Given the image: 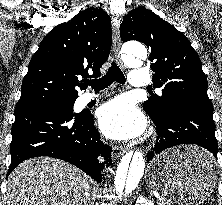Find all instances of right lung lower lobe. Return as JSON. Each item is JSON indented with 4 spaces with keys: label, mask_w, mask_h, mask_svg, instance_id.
<instances>
[{
    "label": "right lung lower lobe",
    "mask_w": 222,
    "mask_h": 205,
    "mask_svg": "<svg viewBox=\"0 0 222 205\" xmlns=\"http://www.w3.org/2000/svg\"><path fill=\"white\" fill-rule=\"evenodd\" d=\"M10 153L7 177L26 159L50 156L77 166L101 182L103 163L97 157L111 162V147L101 142L91 114H74L47 104L15 108Z\"/></svg>",
    "instance_id": "obj_1"
}]
</instances>
